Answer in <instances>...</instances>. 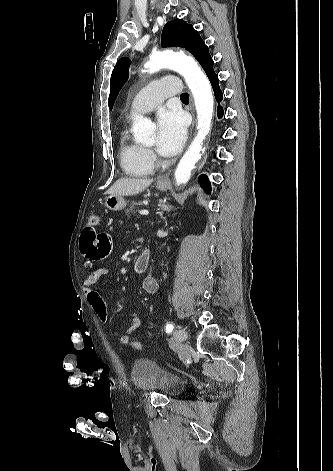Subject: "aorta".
Masks as SVG:
<instances>
[{
  "instance_id": "1",
  "label": "aorta",
  "mask_w": 333,
  "mask_h": 471,
  "mask_svg": "<svg viewBox=\"0 0 333 471\" xmlns=\"http://www.w3.org/2000/svg\"><path fill=\"white\" fill-rule=\"evenodd\" d=\"M171 68L182 75L190 88L197 112V134L175 170L177 185L189 181L191 171L201 158L203 142L211 129L214 99L208 78L189 56L178 55L167 50L153 53L145 63L142 72L153 73L161 68ZM155 125L148 119L137 117L133 125V134L137 141L147 142L154 137Z\"/></svg>"
}]
</instances>
